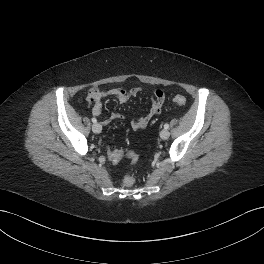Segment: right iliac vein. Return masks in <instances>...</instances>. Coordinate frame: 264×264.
Segmentation results:
<instances>
[{
    "mask_svg": "<svg viewBox=\"0 0 264 264\" xmlns=\"http://www.w3.org/2000/svg\"><path fill=\"white\" fill-rule=\"evenodd\" d=\"M92 131L94 133H100L102 131V126L99 123H94L92 125Z\"/></svg>",
    "mask_w": 264,
    "mask_h": 264,
    "instance_id": "63e3f726",
    "label": "right iliac vein"
}]
</instances>
